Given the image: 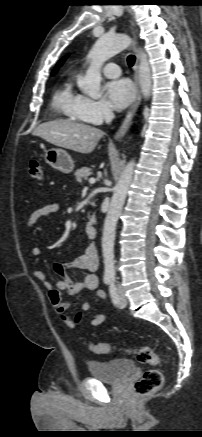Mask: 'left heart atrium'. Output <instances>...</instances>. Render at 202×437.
Masks as SVG:
<instances>
[{"mask_svg": "<svg viewBox=\"0 0 202 437\" xmlns=\"http://www.w3.org/2000/svg\"><path fill=\"white\" fill-rule=\"evenodd\" d=\"M107 95L115 109L125 108L134 98V88L128 79H116L105 86Z\"/></svg>", "mask_w": 202, "mask_h": 437, "instance_id": "1", "label": "left heart atrium"}]
</instances>
